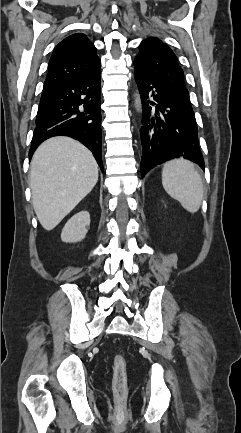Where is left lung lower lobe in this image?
Listing matches in <instances>:
<instances>
[{
    "label": "left lung lower lobe",
    "mask_w": 241,
    "mask_h": 433,
    "mask_svg": "<svg viewBox=\"0 0 241 433\" xmlns=\"http://www.w3.org/2000/svg\"><path fill=\"white\" fill-rule=\"evenodd\" d=\"M142 101L141 175L170 159L183 157L204 170L194 114L162 84L135 71Z\"/></svg>",
    "instance_id": "0a47b994"
}]
</instances>
